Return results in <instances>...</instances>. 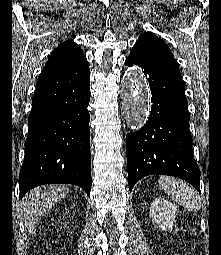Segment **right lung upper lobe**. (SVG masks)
<instances>
[{
	"instance_id": "right-lung-upper-lobe-1",
	"label": "right lung upper lobe",
	"mask_w": 221,
	"mask_h": 255,
	"mask_svg": "<svg viewBox=\"0 0 221 255\" xmlns=\"http://www.w3.org/2000/svg\"><path fill=\"white\" fill-rule=\"evenodd\" d=\"M81 48L72 40L61 43L49 57L40 77L58 72L83 58Z\"/></svg>"
}]
</instances>
